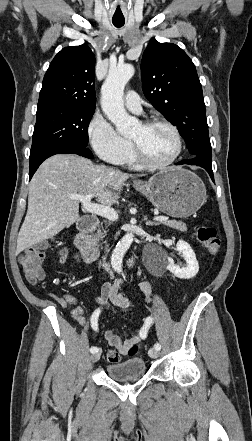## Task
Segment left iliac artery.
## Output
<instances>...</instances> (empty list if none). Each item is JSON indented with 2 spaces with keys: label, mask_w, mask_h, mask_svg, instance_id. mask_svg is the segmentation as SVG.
I'll list each match as a JSON object with an SVG mask.
<instances>
[{
  "label": "left iliac artery",
  "mask_w": 252,
  "mask_h": 441,
  "mask_svg": "<svg viewBox=\"0 0 252 441\" xmlns=\"http://www.w3.org/2000/svg\"><path fill=\"white\" fill-rule=\"evenodd\" d=\"M152 323H153V318L149 316V317L146 318L145 324L140 326L139 333H140V340L141 341H146L147 340L148 328L150 327V325ZM154 348L157 349V350H160L161 349V345L159 343H156L154 345Z\"/></svg>",
  "instance_id": "obj_1"
}]
</instances>
